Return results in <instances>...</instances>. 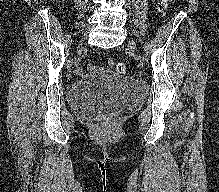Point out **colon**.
Segmentation results:
<instances>
[{
	"instance_id": "5ec220e1",
	"label": "colon",
	"mask_w": 219,
	"mask_h": 192,
	"mask_svg": "<svg viewBox=\"0 0 219 192\" xmlns=\"http://www.w3.org/2000/svg\"><path fill=\"white\" fill-rule=\"evenodd\" d=\"M44 0H36V2H43ZM174 0H161L160 2V9L162 11L166 10L170 4L173 2ZM109 64H112V61H109ZM115 71L117 74L119 75H124L126 73V65L122 62H119L115 65Z\"/></svg>"
}]
</instances>
